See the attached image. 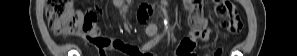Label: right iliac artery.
<instances>
[{"instance_id": "right-iliac-artery-1", "label": "right iliac artery", "mask_w": 297, "mask_h": 56, "mask_svg": "<svg viewBox=\"0 0 297 56\" xmlns=\"http://www.w3.org/2000/svg\"><path fill=\"white\" fill-rule=\"evenodd\" d=\"M161 36H157L155 37L153 40L147 42L143 47H142V51L143 50H148L151 47H153L159 40H160Z\"/></svg>"}]
</instances>
